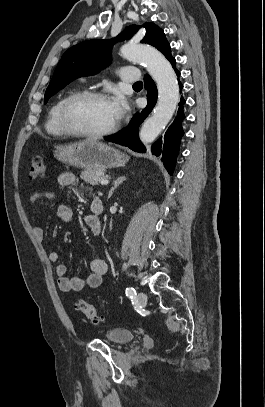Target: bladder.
<instances>
[{"instance_id":"obj_1","label":"bladder","mask_w":265,"mask_h":407,"mask_svg":"<svg viewBox=\"0 0 265 407\" xmlns=\"http://www.w3.org/2000/svg\"><path fill=\"white\" fill-rule=\"evenodd\" d=\"M106 338L113 344H125L134 338V332L123 328H112L106 331Z\"/></svg>"}]
</instances>
